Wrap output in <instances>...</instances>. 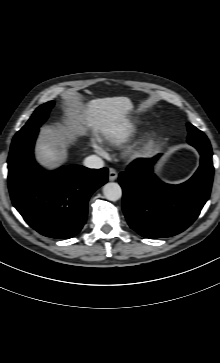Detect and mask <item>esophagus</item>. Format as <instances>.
I'll return each instance as SVG.
<instances>
[{
  "instance_id": "1",
  "label": "esophagus",
  "mask_w": 220,
  "mask_h": 363,
  "mask_svg": "<svg viewBox=\"0 0 220 363\" xmlns=\"http://www.w3.org/2000/svg\"><path fill=\"white\" fill-rule=\"evenodd\" d=\"M118 177V174L116 172V170L114 168H109V174H108V178L110 181H114L116 180Z\"/></svg>"
}]
</instances>
